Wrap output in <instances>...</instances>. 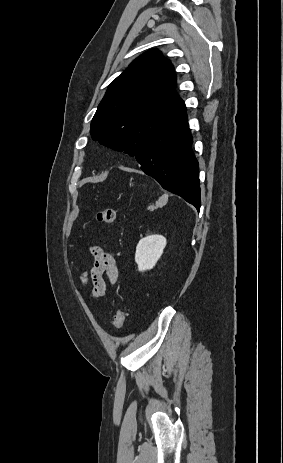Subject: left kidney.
Masks as SVG:
<instances>
[{"label": "left kidney", "mask_w": 283, "mask_h": 463, "mask_svg": "<svg viewBox=\"0 0 283 463\" xmlns=\"http://www.w3.org/2000/svg\"><path fill=\"white\" fill-rule=\"evenodd\" d=\"M167 240L162 235H150L142 238L136 247L135 262L140 272L152 269L166 247Z\"/></svg>", "instance_id": "left-kidney-1"}]
</instances>
